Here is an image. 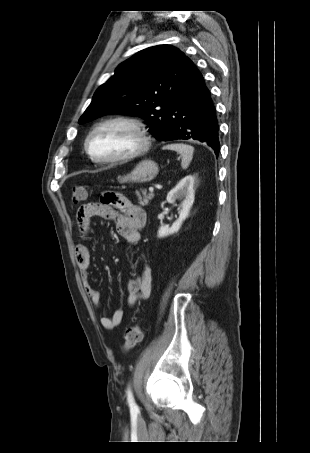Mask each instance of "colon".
<instances>
[{
	"label": "colon",
	"instance_id": "5ec220e1",
	"mask_svg": "<svg viewBox=\"0 0 310 453\" xmlns=\"http://www.w3.org/2000/svg\"><path fill=\"white\" fill-rule=\"evenodd\" d=\"M111 193L102 195V201H108ZM88 189L85 185H74L72 187V201L74 204H80L86 201ZM122 350L128 352L133 349L142 340V330L139 325H134L126 329L123 335Z\"/></svg>",
	"mask_w": 310,
	"mask_h": 453
}]
</instances>
